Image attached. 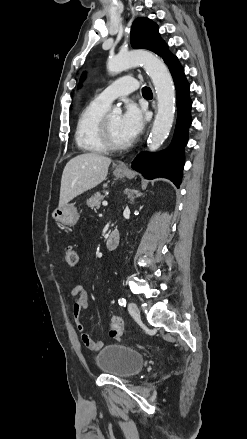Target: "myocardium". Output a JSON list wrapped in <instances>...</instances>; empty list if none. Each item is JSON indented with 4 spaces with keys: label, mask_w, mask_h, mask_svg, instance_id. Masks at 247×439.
Listing matches in <instances>:
<instances>
[{
    "label": "myocardium",
    "mask_w": 247,
    "mask_h": 439,
    "mask_svg": "<svg viewBox=\"0 0 247 439\" xmlns=\"http://www.w3.org/2000/svg\"><path fill=\"white\" fill-rule=\"evenodd\" d=\"M108 117H109V115L105 114V116L103 117V119L101 121V125H100V137H101L102 143L104 144V146L108 150L117 151V150H123V149L128 148L131 144L129 141H127L125 143H117L114 141L112 134H111Z\"/></svg>",
    "instance_id": "obj_1"
}]
</instances>
